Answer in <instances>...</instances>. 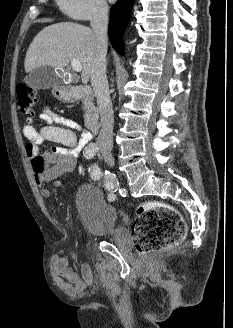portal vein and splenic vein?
Segmentation results:
<instances>
[{"label":"portal vein and splenic vein","instance_id":"1","mask_svg":"<svg viewBox=\"0 0 233 328\" xmlns=\"http://www.w3.org/2000/svg\"><path fill=\"white\" fill-rule=\"evenodd\" d=\"M71 65H72V68L75 72H81L82 71V65L77 59L73 58L71 60Z\"/></svg>","mask_w":233,"mask_h":328}]
</instances>
